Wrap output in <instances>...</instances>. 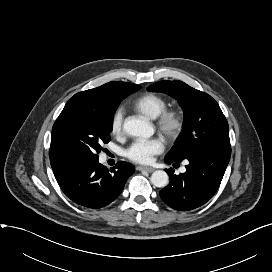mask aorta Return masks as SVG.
I'll return each mask as SVG.
<instances>
[{
	"mask_svg": "<svg viewBox=\"0 0 272 272\" xmlns=\"http://www.w3.org/2000/svg\"><path fill=\"white\" fill-rule=\"evenodd\" d=\"M123 128L128 135L135 137L149 138L154 134V128L149 122L135 117L127 118ZM168 182L169 176L163 170H157L151 175V183L158 188L167 186Z\"/></svg>",
	"mask_w": 272,
	"mask_h": 272,
	"instance_id": "762f6f07",
	"label": "aorta"
}]
</instances>
